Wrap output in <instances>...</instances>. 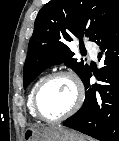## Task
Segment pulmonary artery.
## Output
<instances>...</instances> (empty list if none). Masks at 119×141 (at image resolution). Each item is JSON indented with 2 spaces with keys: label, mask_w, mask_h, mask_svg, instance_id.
I'll return each mask as SVG.
<instances>
[{
  "label": "pulmonary artery",
  "mask_w": 119,
  "mask_h": 141,
  "mask_svg": "<svg viewBox=\"0 0 119 141\" xmlns=\"http://www.w3.org/2000/svg\"><path fill=\"white\" fill-rule=\"evenodd\" d=\"M86 48L88 49L91 57L93 59H96L97 58V48L95 47V45H93L92 43H87Z\"/></svg>",
  "instance_id": "pulmonary-artery-1"
}]
</instances>
